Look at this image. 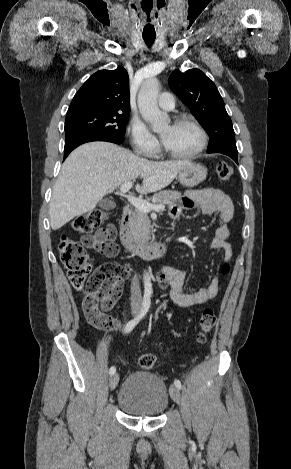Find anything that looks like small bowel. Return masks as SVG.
<instances>
[{
  "mask_svg": "<svg viewBox=\"0 0 291 469\" xmlns=\"http://www.w3.org/2000/svg\"><path fill=\"white\" fill-rule=\"evenodd\" d=\"M193 207H199L202 214H218L221 220L220 226L215 232L211 242L213 249L221 250L224 261H229L232 257V249L227 239L230 235L228 223L234 215V207L230 198L221 190L215 188H205L201 190L189 191L182 199L180 206L173 207L170 215L173 219H178L182 212ZM115 236L113 226H107L93 235V242L90 248L107 257H113L107 252V247ZM185 272L173 265H165L157 275V280L162 288L169 287L172 301L180 307L187 308L200 305L215 298L221 291V283L218 278L212 279L210 284L193 293L184 290ZM123 283L120 291L116 295V301L120 298ZM113 326L109 330H120L122 324L118 319H112Z\"/></svg>",
  "mask_w": 291,
  "mask_h": 469,
  "instance_id": "small-bowel-1",
  "label": "small bowel"
}]
</instances>
